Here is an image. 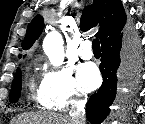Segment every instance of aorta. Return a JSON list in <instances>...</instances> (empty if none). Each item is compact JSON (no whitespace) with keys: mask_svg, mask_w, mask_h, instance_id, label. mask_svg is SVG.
<instances>
[{"mask_svg":"<svg viewBox=\"0 0 145 124\" xmlns=\"http://www.w3.org/2000/svg\"><path fill=\"white\" fill-rule=\"evenodd\" d=\"M43 50L53 66L58 67L63 64L65 57L63 38L58 31L53 30L47 33L43 40Z\"/></svg>","mask_w":145,"mask_h":124,"instance_id":"aorta-1","label":"aorta"}]
</instances>
